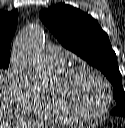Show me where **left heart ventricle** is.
<instances>
[{
  "label": "left heart ventricle",
  "mask_w": 125,
  "mask_h": 128,
  "mask_svg": "<svg viewBox=\"0 0 125 128\" xmlns=\"http://www.w3.org/2000/svg\"><path fill=\"white\" fill-rule=\"evenodd\" d=\"M58 87L57 81L53 91ZM63 93L71 107L83 114L99 112L106 100L101 81L88 71L77 73L64 87Z\"/></svg>",
  "instance_id": "1"
}]
</instances>
